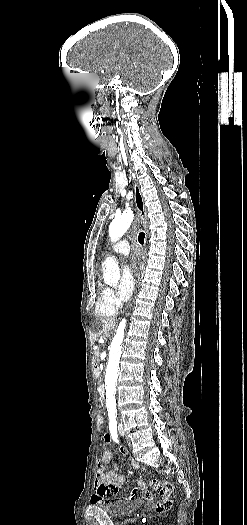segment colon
Segmentation results:
<instances>
[{"instance_id":"obj_1","label":"colon","mask_w":247,"mask_h":525,"mask_svg":"<svg viewBox=\"0 0 247 525\" xmlns=\"http://www.w3.org/2000/svg\"><path fill=\"white\" fill-rule=\"evenodd\" d=\"M95 424L98 427V430L100 432H103L105 430L104 426L106 424V421H105L104 418H102V417L97 418L96 421H95ZM171 490H172V496H176L175 493L173 492V489H171Z\"/></svg>"}]
</instances>
